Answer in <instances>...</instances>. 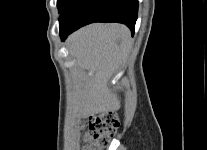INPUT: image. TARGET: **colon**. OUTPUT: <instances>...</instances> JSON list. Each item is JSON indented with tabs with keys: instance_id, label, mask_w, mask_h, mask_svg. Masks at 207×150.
Listing matches in <instances>:
<instances>
[{
	"instance_id": "5ec220e1",
	"label": "colon",
	"mask_w": 207,
	"mask_h": 150,
	"mask_svg": "<svg viewBox=\"0 0 207 150\" xmlns=\"http://www.w3.org/2000/svg\"><path fill=\"white\" fill-rule=\"evenodd\" d=\"M120 126L114 112H105L89 116L85 121V146L82 150H103Z\"/></svg>"
}]
</instances>
